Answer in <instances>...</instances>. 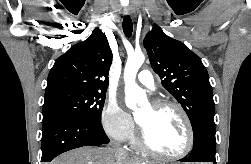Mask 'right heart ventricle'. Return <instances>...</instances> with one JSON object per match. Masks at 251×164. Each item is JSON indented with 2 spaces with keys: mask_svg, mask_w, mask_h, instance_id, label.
Returning <instances> with one entry per match:
<instances>
[{
  "mask_svg": "<svg viewBox=\"0 0 251 164\" xmlns=\"http://www.w3.org/2000/svg\"><path fill=\"white\" fill-rule=\"evenodd\" d=\"M131 142H132V145L136 148V149H140V146L138 144V141L135 137H131Z\"/></svg>",
  "mask_w": 251,
  "mask_h": 164,
  "instance_id": "right-heart-ventricle-1",
  "label": "right heart ventricle"
}]
</instances>
